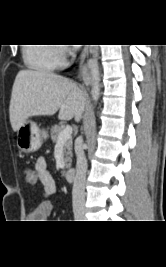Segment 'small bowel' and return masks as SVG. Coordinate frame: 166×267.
Listing matches in <instances>:
<instances>
[{
    "label": "small bowel",
    "mask_w": 166,
    "mask_h": 267,
    "mask_svg": "<svg viewBox=\"0 0 166 267\" xmlns=\"http://www.w3.org/2000/svg\"><path fill=\"white\" fill-rule=\"evenodd\" d=\"M35 171L38 173V179L42 186V201L28 214V218L33 222H43L53 212L54 203L51 197L56 192V181L50 171L47 169L45 158L40 157L36 161Z\"/></svg>",
    "instance_id": "1"
}]
</instances>
